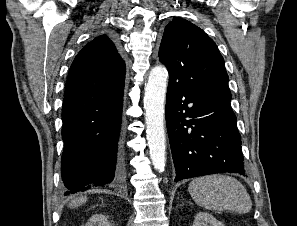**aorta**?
<instances>
[{"instance_id": "762f6f07", "label": "aorta", "mask_w": 297, "mask_h": 226, "mask_svg": "<svg viewBox=\"0 0 297 226\" xmlns=\"http://www.w3.org/2000/svg\"><path fill=\"white\" fill-rule=\"evenodd\" d=\"M168 72L163 66H155L145 85L144 108L146 137L153 166L163 172L166 162V138L164 130V103Z\"/></svg>"}]
</instances>
